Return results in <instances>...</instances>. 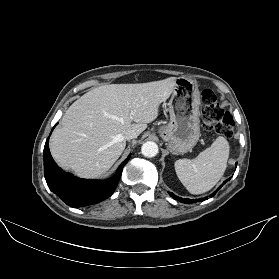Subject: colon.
<instances>
[{
  "label": "colon",
  "mask_w": 279,
  "mask_h": 279,
  "mask_svg": "<svg viewBox=\"0 0 279 279\" xmlns=\"http://www.w3.org/2000/svg\"><path fill=\"white\" fill-rule=\"evenodd\" d=\"M201 119L206 130H215L226 137L232 136L233 118L222 108L211 90L202 92Z\"/></svg>",
  "instance_id": "1"
}]
</instances>
